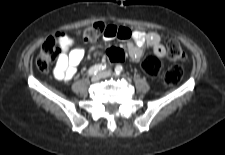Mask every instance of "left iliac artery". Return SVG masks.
Listing matches in <instances>:
<instances>
[{"label":"left iliac artery","mask_w":225,"mask_h":155,"mask_svg":"<svg viewBox=\"0 0 225 155\" xmlns=\"http://www.w3.org/2000/svg\"><path fill=\"white\" fill-rule=\"evenodd\" d=\"M122 71H123V67L121 65H117L115 67V73H116V75H120L122 73Z\"/></svg>","instance_id":"left-iliac-artery-1"}]
</instances>
